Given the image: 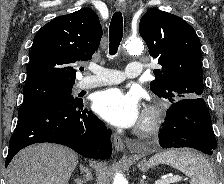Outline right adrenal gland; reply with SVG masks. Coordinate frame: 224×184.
Masks as SVG:
<instances>
[{
	"label": "right adrenal gland",
	"instance_id": "right-adrenal-gland-1",
	"mask_svg": "<svg viewBox=\"0 0 224 184\" xmlns=\"http://www.w3.org/2000/svg\"><path fill=\"white\" fill-rule=\"evenodd\" d=\"M79 167H80L81 173L83 174V178L75 179V183L76 184H84L91 179V172L87 167H85L82 164H80Z\"/></svg>",
	"mask_w": 224,
	"mask_h": 184
}]
</instances>
